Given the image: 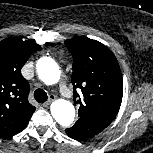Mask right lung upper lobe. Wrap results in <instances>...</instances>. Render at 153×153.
I'll list each match as a JSON object with an SVG mask.
<instances>
[{
	"mask_svg": "<svg viewBox=\"0 0 153 153\" xmlns=\"http://www.w3.org/2000/svg\"><path fill=\"white\" fill-rule=\"evenodd\" d=\"M41 47L10 37L0 41V137H12L28 124L35 107L28 102L29 84L21 68Z\"/></svg>",
	"mask_w": 153,
	"mask_h": 153,
	"instance_id": "cb5924a9",
	"label": "right lung upper lobe"
}]
</instances>
